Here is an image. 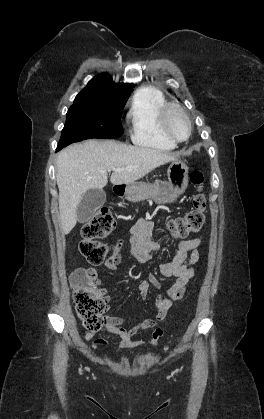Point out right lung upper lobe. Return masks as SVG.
Listing matches in <instances>:
<instances>
[{
    "mask_svg": "<svg viewBox=\"0 0 264 419\" xmlns=\"http://www.w3.org/2000/svg\"><path fill=\"white\" fill-rule=\"evenodd\" d=\"M133 87L134 84H115L109 74L102 73L94 77L82 91L128 98Z\"/></svg>",
    "mask_w": 264,
    "mask_h": 419,
    "instance_id": "1",
    "label": "right lung upper lobe"
}]
</instances>
